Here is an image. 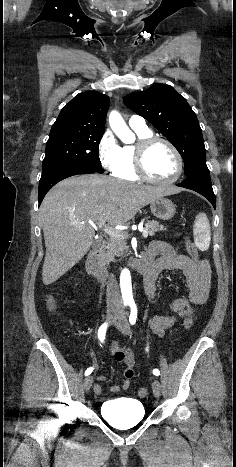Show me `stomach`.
I'll list each match as a JSON object with an SVG mask.
<instances>
[{"label": "stomach", "instance_id": "0dacf381", "mask_svg": "<svg viewBox=\"0 0 236 467\" xmlns=\"http://www.w3.org/2000/svg\"><path fill=\"white\" fill-rule=\"evenodd\" d=\"M150 209L152 214L161 220L171 219L176 211L174 203L167 198H158L150 203Z\"/></svg>", "mask_w": 236, "mask_h": 467}]
</instances>
